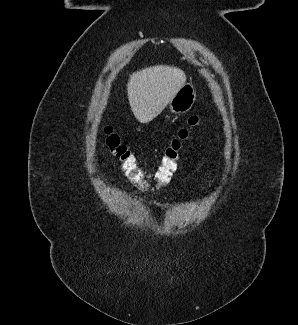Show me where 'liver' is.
<instances>
[{"instance_id":"obj_1","label":"liver","mask_w":298,"mask_h":325,"mask_svg":"<svg viewBox=\"0 0 298 325\" xmlns=\"http://www.w3.org/2000/svg\"><path fill=\"white\" fill-rule=\"evenodd\" d=\"M187 74L174 64H153L129 74L127 98L139 122H150L161 114L179 88L185 84Z\"/></svg>"}]
</instances>
